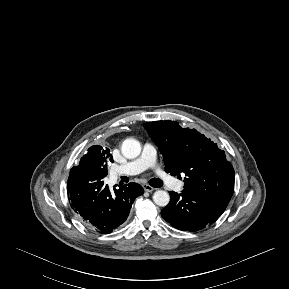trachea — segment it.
<instances>
[{
	"mask_svg": "<svg viewBox=\"0 0 289 289\" xmlns=\"http://www.w3.org/2000/svg\"><path fill=\"white\" fill-rule=\"evenodd\" d=\"M149 183L152 187H155V188H159L163 186V182L159 178H153L150 180Z\"/></svg>",
	"mask_w": 289,
	"mask_h": 289,
	"instance_id": "1",
	"label": "trachea"
}]
</instances>
